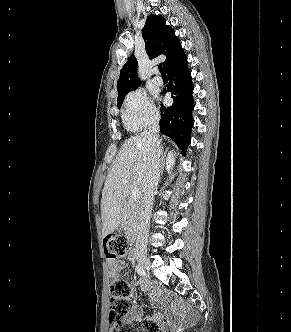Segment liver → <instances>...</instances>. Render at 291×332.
I'll return each instance as SVG.
<instances>
[{
	"mask_svg": "<svg viewBox=\"0 0 291 332\" xmlns=\"http://www.w3.org/2000/svg\"><path fill=\"white\" fill-rule=\"evenodd\" d=\"M146 149L141 135L130 137L122 145L102 190V237L111 234L122 222L128 194L132 190L142 192Z\"/></svg>",
	"mask_w": 291,
	"mask_h": 332,
	"instance_id": "1",
	"label": "liver"
}]
</instances>
